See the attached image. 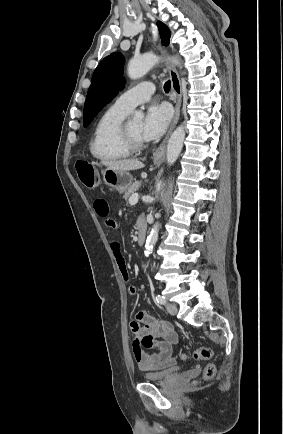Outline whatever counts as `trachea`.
<instances>
[{"instance_id": "trachea-1", "label": "trachea", "mask_w": 283, "mask_h": 434, "mask_svg": "<svg viewBox=\"0 0 283 434\" xmlns=\"http://www.w3.org/2000/svg\"><path fill=\"white\" fill-rule=\"evenodd\" d=\"M170 87H171V82L170 80H168L165 84H164V91L166 93H168L170 91Z\"/></svg>"}]
</instances>
